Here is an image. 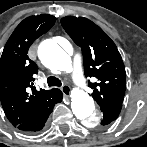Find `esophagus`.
I'll return each mask as SVG.
<instances>
[{
	"mask_svg": "<svg viewBox=\"0 0 147 147\" xmlns=\"http://www.w3.org/2000/svg\"><path fill=\"white\" fill-rule=\"evenodd\" d=\"M61 91L64 93L65 96L69 97L71 95V88L68 85L61 86Z\"/></svg>",
	"mask_w": 147,
	"mask_h": 147,
	"instance_id": "esophagus-1",
	"label": "esophagus"
}]
</instances>
